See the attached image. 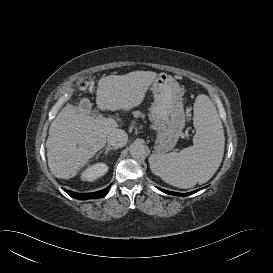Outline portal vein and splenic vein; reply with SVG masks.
<instances>
[{"mask_svg":"<svg viewBox=\"0 0 273 273\" xmlns=\"http://www.w3.org/2000/svg\"><path fill=\"white\" fill-rule=\"evenodd\" d=\"M94 118H99L100 119V118H103V117L101 115H99L98 117H94Z\"/></svg>","mask_w":273,"mask_h":273,"instance_id":"18ae733b","label":"portal vein and splenic vein"}]
</instances>
